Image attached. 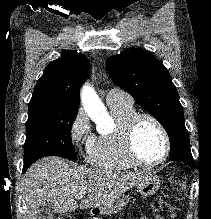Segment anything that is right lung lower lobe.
<instances>
[{
    "label": "right lung lower lobe",
    "instance_id": "1",
    "mask_svg": "<svg viewBox=\"0 0 211 219\" xmlns=\"http://www.w3.org/2000/svg\"><path fill=\"white\" fill-rule=\"evenodd\" d=\"M30 165H28V164H24V166H23V173L27 170V168L29 167Z\"/></svg>",
    "mask_w": 211,
    "mask_h": 219
}]
</instances>
